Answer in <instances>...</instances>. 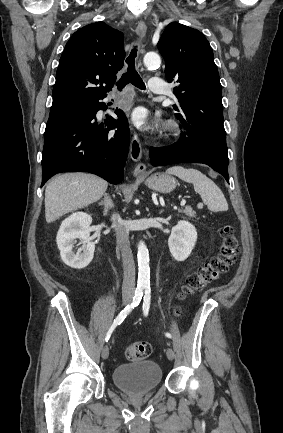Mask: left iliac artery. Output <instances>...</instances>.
<instances>
[{
  "instance_id": "obj_1",
  "label": "left iliac artery",
  "mask_w": 283,
  "mask_h": 433,
  "mask_svg": "<svg viewBox=\"0 0 283 433\" xmlns=\"http://www.w3.org/2000/svg\"><path fill=\"white\" fill-rule=\"evenodd\" d=\"M150 299H151V295H150V288L147 287L145 288V295L143 298V313L145 316L148 315L149 312V308H150ZM165 336L168 338H172V335L168 332L165 333Z\"/></svg>"
}]
</instances>
